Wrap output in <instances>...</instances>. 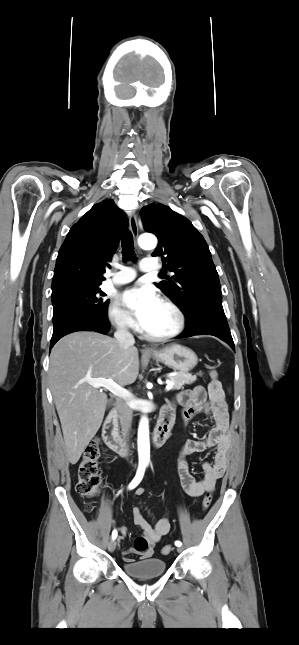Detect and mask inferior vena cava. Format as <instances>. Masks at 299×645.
<instances>
[{
    "label": "inferior vena cava",
    "mask_w": 299,
    "mask_h": 645,
    "mask_svg": "<svg viewBox=\"0 0 299 645\" xmlns=\"http://www.w3.org/2000/svg\"><path fill=\"white\" fill-rule=\"evenodd\" d=\"M114 337L124 349L132 347L135 343L133 335L125 327L123 321L117 322V331L115 332ZM118 408L122 431L124 432V435L127 436L131 427L132 411L128 405L122 401H119Z\"/></svg>",
    "instance_id": "inferior-vena-cava-1"
}]
</instances>
